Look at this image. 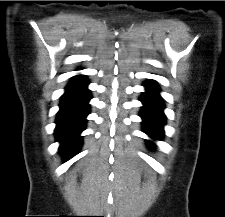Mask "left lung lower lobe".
<instances>
[{
    "mask_svg": "<svg viewBox=\"0 0 225 217\" xmlns=\"http://www.w3.org/2000/svg\"><path fill=\"white\" fill-rule=\"evenodd\" d=\"M144 86L146 87V92L140 97V101L144 105L140 111V117L143 119V132L153 139L160 140L163 136V126L165 125L164 103L159 95L160 89L154 80H148ZM148 144L150 146L153 145L150 141H148Z\"/></svg>",
    "mask_w": 225,
    "mask_h": 217,
    "instance_id": "obj_1",
    "label": "left lung lower lobe"
}]
</instances>
